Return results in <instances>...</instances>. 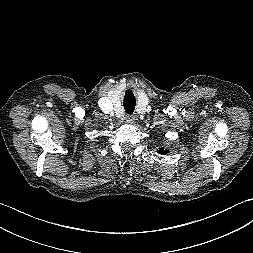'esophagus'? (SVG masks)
<instances>
[{
	"label": "esophagus",
	"instance_id": "esophagus-1",
	"mask_svg": "<svg viewBox=\"0 0 253 253\" xmlns=\"http://www.w3.org/2000/svg\"><path fill=\"white\" fill-rule=\"evenodd\" d=\"M125 120H126L127 123L132 124L135 121V116H133V115H127L126 118H125Z\"/></svg>",
	"mask_w": 253,
	"mask_h": 253
}]
</instances>
